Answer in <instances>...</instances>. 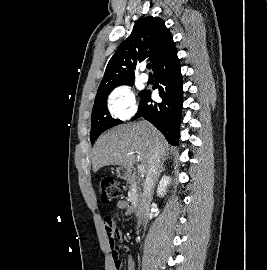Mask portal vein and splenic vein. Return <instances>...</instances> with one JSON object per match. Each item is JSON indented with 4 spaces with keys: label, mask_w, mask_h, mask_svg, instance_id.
Listing matches in <instances>:
<instances>
[{
    "label": "portal vein and splenic vein",
    "mask_w": 267,
    "mask_h": 270,
    "mask_svg": "<svg viewBox=\"0 0 267 270\" xmlns=\"http://www.w3.org/2000/svg\"><path fill=\"white\" fill-rule=\"evenodd\" d=\"M138 172L140 174L144 173V166L142 164L138 165Z\"/></svg>",
    "instance_id": "obj_1"
}]
</instances>
